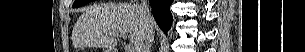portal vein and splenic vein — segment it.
Here are the masks:
<instances>
[{"mask_svg": "<svg viewBox=\"0 0 305 52\" xmlns=\"http://www.w3.org/2000/svg\"><path fill=\"white\" fill-rule=\"evenodd\" d=\"M117 36L122 37V38L127 37V35L124 33H118ZM126 52H133V48L131 46L126 47Z\"/></svg>", "mask_w": 305, "mask_h": 52, "instance_id": "18ae733b", "label": "portal vein and splenic vein"}]
</instances>
